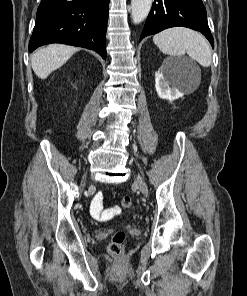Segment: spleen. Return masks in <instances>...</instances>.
Wrapping results in <instances>:
<instances>
[{
    "label": "spleen",
    "mask_w": 247,
    "mask_h": 296,
    "mask_svg": "<svg viewBox=\"0 0 247 296\" xmlns=\"http://www.w3.org/2000/svg\"><path fill=\"white\" fill-rule=\"evenodd\" d=\"M160 51L172 57L187 53L203 67H209L212 61L210 45L200 33L184 27L166 29L153 37Z\"/></svg>",
    "instance_id": "3e777b00"
}]
</instances>
